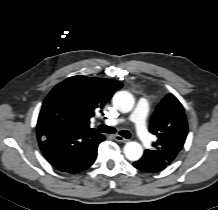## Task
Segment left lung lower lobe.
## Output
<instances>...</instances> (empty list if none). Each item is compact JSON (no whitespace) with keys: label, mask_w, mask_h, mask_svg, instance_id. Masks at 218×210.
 <instances>
[{"label":"left lung lower lobe","mask_w":218,"mask_h":210,"mask_svg":"<svg viewBox=\"0 0 218 210\" xmlns=\"http://www.w3.org/2000/svg\"><path fill=\"white\" fill-rule=\"evenodd\" d=\"M133 165L139 170L155 173L163 170L169 164L163 159H155L154 155L150 154V152L146 150L142 158L134 162Z\"/></svg>","instance_id":"obj_1"}]
</instances>
